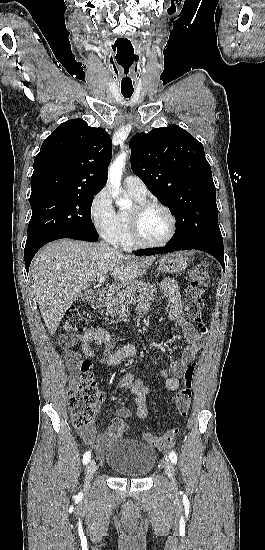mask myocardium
Instances as JSON below:
<instances>
[{
	"label": "myocardium",
	"mask_w": 265,
	"mask_h": 550,
	"mask_svg": "<svg viewBox=\"0 0 265 550\" xmlns=\"http://www.w3.org/2000/svg\"><path fill=\"white\" fill-rule=\"evenodd\" d=\"M151 208L162 210L170 220V230L165 239L160 242L145 241L140 234V219L142 215ZM129 226L131 239L136 247L140 248H160L167 245L175 236L177 229V221L172 211L165 205L157 201L144 200L136 203L131 211H129Z\"/></svg>",
	"instance_id": "1"
}]
</instances>
